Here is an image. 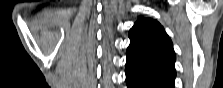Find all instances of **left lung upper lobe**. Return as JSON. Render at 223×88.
Masks as SVG:
<instances>
[{
  "label": "left lung upper lobe",
  "instance_id": "left-lung-upper-lobe-1",
  "mask_svg": "<svg viewBox=\"0 0 223 88\" xmlns=\"http://www.w3.org/2000/svg\"><path fill=\"white\" fill-rule=\"evenodd\" d=\"M127 63L175 78L176 59L171 39L155 20L140 18L129 31Z\"/></svg>",
  "mask_w": 223,
  "mask_h": 88
}]
</instances>
